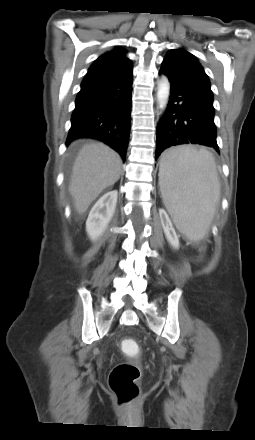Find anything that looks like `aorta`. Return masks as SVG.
<instances>
[{
    "label": "aorta",
    "mask_w": 255,
    "mask_h": 440,
    "mask_svg": "<svg viewBox=\"0 0 255 440\" xmlns=\"http://www.w3.org/2000/svg\"><path fill=\"white\" fill-rule=\"evenodd\" d=\"M170 85L167 78H162L158 84L157 100L161 110H164L168 103Z\"/></svg>",
    "instance_id": "obj_1"
}]
</instances>
